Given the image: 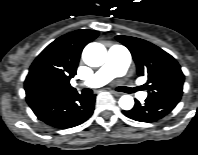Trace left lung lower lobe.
I'll list each match as a JSON object with an SVG mask.
<instances>
[{
  "mask_svg": "<svg viewBox=\"0 0 198 155\" xmlns=\"http://www.w3.org/2000/svg\"><path fill=\"white\" fill-rule=\"evenodd\" d=\"M178 102L168 99H146L144 104L135 100V106L124 115L140 122H155L171 112Z\"/></svg>",
  "mask_w": 198,
  "mask_h": 155,
  "instance_id": "left-lung-lower-lobe-1",
  "label": "left lung lower lobe"
}]
</instances>
